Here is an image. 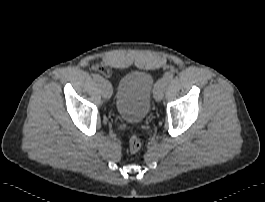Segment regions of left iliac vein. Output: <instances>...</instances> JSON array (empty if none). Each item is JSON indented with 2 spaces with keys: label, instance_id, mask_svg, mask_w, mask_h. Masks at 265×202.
Listing matches in <instances>:
<instances>
[{
  "label": "left iliac vein",
  "instance_id": "left-iliac-vein-1",
  "mask_svg": "<svg viewBox=\"0 0 265 202\" xmlns=\"http://www.w3.org/2000/svg\"><path fill=\"white\" fill-rule=\"evenodd\" d=\"M167 85H168V81L165 78H162L157 82L155 90H154V98L156 101L162 100L165 90L167 88Z\"/></svg>",
  "mask_w": 265,
  "mask_h": 202
}]
</instances>
